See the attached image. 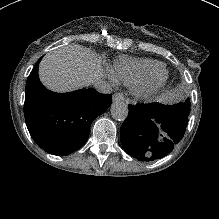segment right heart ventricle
I'll list each match as a JSON object with an SVG mask.
<instances>
[{
	"instance_id": "e07e8e85",
	"label": "right heart ventricle",
	"mask_w": 219,
	"mask_h": 219,
	"mask_svg": "<svg viewBox=\"0 0 219 219\" xmlns=\"http://www.w3.org/2000/svg\"><path fill=\"white\" fill-rule=\"evenodd\" d=\"M162 66V63L149 58L121 57L113 64L112 77L119 83L134 87Z\"/></svg>"
}]
</instances>
